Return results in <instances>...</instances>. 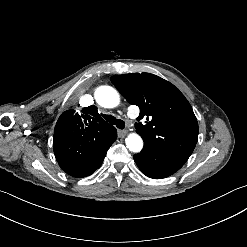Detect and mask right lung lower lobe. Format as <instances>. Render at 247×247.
Segmentation results:
<instances>
[{
	"mask_svg": "<svg viewBox=\"0 0 247 247\" xmlns=\"http://www.w3.org/2000/svg\"><path fill=\"white\" fill-rule=\"evenodd\" d=\"M109 149V148H108ZM103 151L101 154L88 158L85 161L78 162V163H59L61 169L69 174L70 176L82 178L91 175L95 170H97L106 155L107 150Z\"/></svg>",
	"mask_w": 247,
	"mask_h": 247,
	"instance_id": "1",
	"label": "right lung lower lobe"
}]
</instances>
